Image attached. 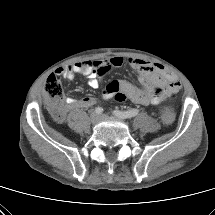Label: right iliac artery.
Masks as SVG:
<instances>
[{
  "label": "right iliac artery",
  "mask_w": 215,
  "mask_h": 215,
  "mask_svg": "<svg viewBox=\"0 0 215 215\" xmlns=\"http://www.w3.org/2000/svg\"><path fill=\"white\" fill-rule=\"evenodd\" d=\"M95 113H96V114H102V113H103V109H102L101 107H97V108L95 109Z\"/></svg>",
  "instance_id": "82829eb1"
}]
</instances>
